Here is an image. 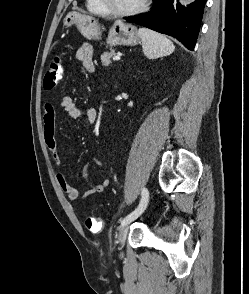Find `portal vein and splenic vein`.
Returning a JSON list of instances; mask_svg holds the SVG:
<instances>
[{
	"mask_svg": "<svg viewBox=\"0 0 249 294\" xmlns=\"http://www.w3.org/2000/svg\"><path fill=\"white\" fill-rule=\"evenodd\" d=\"M113 60H114V61H118V60H120V56H119V55L114 56V57H113Z\"/></svg>",
	"mask_w": 249,
	"mask_h": 294,
	"instance_id": "portal-vein-and-splenic-vein-1",
	"label": "portal vein and splenic vein"
}]
</instances>
